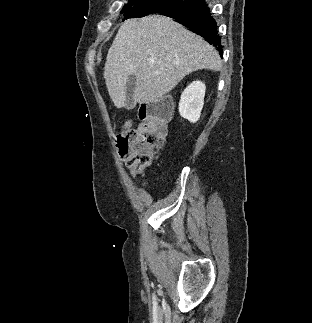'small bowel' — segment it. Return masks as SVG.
<instances>
[{
	"instance_id": "c3829d8e",
	"label": "small bowel",
	"mask_w": 312,
	"mask_h": 323,
	"mask_svg": "<svg viewBox=\"0 0 312 323\" xmlns=\"http://www.w3.org/2000/svg\"><path fill=\"white\" fill-rule=\"evenodd\" d=\"M146 185H147V183H146V182H144V183L142 184V187H146Z\"/></svg>"
}]
</instances>
